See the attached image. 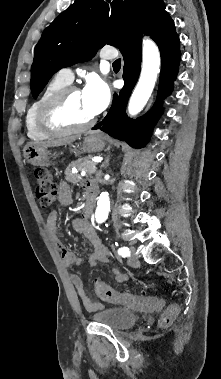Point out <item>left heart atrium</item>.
I'll list each match as a JSON object with an SVG mask.
<instances>
[{"instance_id": "obj_1", "label": "left heart atrium", "mask_w": 221, "mask_h": 379, "mask_svg": "<svg viewBox=\"0 0 221 379\" xmlns=\"http://www.w3.org/2000/svg\"><path fill=\"white\" fill-rule=\"evenodd\" d=\"M81 94L85 105L94 116L101 113L110 101V89L98 76L87 79Z\"/></svg>"}]
</instances>
